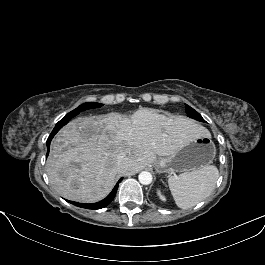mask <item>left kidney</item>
Segmentation results:
<instances>
[{"instance_id":"obj_1","label":"left kidney","mask_w":265,"mask_h":265,"mask_svg":"<svg viewBox=\"0 0 265 265\" xmlns=\"http://www.w3.org/2000/svg\"><path fill=\"white\" fill-rule=\"evenodd\" d=\"M157 195L159 196V198H160L162 201H166L165 196L162 194V192H161L160 190L157 191Z\"/></svg>"}]
</instances>
